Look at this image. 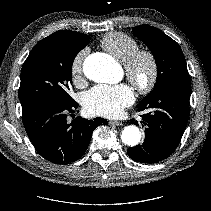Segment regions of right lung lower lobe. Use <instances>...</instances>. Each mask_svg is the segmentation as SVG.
I'll return each instance as SVG.
<instances>
[{
  "label": "right lung lower lobe",
  "instance_id": "obj_1",
  "mask_svg": "<svg viewBox=\"0 0 211 211\" xmlns=\"http://www.w3.org/2000/svg\"><path fill=\"white\" fill-rule=\"evenodd\" d=\"M78 108L75 101L64 104L55 101L39 102L22 110L25 130L36 151L55 164H69L86 151L95 127L108 124L106 119L75 118L68 123V113Z\"/></svg>",
  "mask_w": 211,
  "mask_h": 211
}]
</instances>
